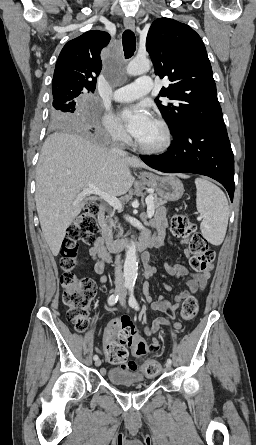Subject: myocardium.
Masks as SVG:
<instances>
[{
    "label": "myocardium",
    "instance_id": "myocardium-1",
    "mask_svg": "<svg viewBox=\"0 0 256 445\" xmlns=\"http://www.w3.org/2000/svg\"><path fill=\"white\" fill-rule=\"evenodd\" d=\"M153 121L161 128L163 133V140L160 144L155 146H146L138 142L137 140L134 141V145L142 152L147 154H161L166 152L171 144H172V131L169 126V124L162 118L156 117L153 119Z\"/></svg>",
    "mask_w": 256,
    "mask_h": 445
}]
</instances>
